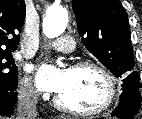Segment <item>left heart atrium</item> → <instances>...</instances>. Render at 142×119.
Masks as SVG:
<instances>
[{"label": "left heart atrium", "instance_id": "39dd6f15", "mask_svg": "<svg viewBox=\"0 0 142 119\" xmlns=\"http://www.w3.org/2000/svg\"><path fill=\"white\" fill-rule=\"evenodd\" d=\"M67 82V71L58 70L51 66H41L37 70L36 84L39 89L61 93Z\"/></svg>", "mask_w": 142, "mask_h": 119}]
</instances>
